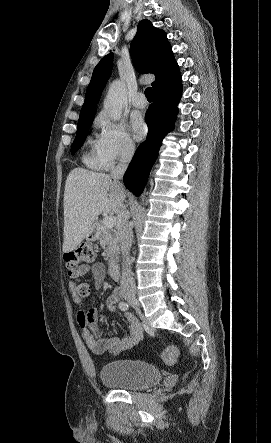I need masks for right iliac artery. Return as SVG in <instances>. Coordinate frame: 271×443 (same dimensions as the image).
Listing matches in <instances>:
<instances>
[{
	"label": "right iliac artery",
	"mask_w": 271,
	"mask_h": 443,
	"mask_svg": "<svg viewBox=\"0 0 271 443\" xmlns=\"http://www.w3.org/2000/svg\"><path fill=\"white\" fill-rule=\"evenodd\" d=\"M119 308H120L122 311H126V310L129 309V305H128V303H126V302H124V301H121V302L119 303Z\"/></svg>",
	"instance_id": "right-iliac-artery-1"
}]
</instances>
